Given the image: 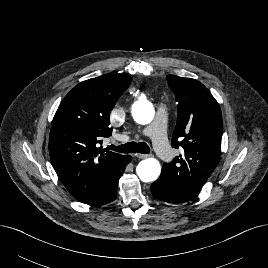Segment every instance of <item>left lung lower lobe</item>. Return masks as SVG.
<instances>
[{"label": "left lung lower lobe", "instance_id": "1", "mask_svg": "<svg viewBox=\"0 0 268 268\" xmlns=\"http://www.w3.org/2000/svg\"><path fill=\"white\" fill-rule=\"evenodd\" d=\"M153 196L169 203H182L195 198L197 195L175 187L163 178H158L151 185Z\"/></svg>", "mask_w": 268, "mask_h": 268}]
</instances>
